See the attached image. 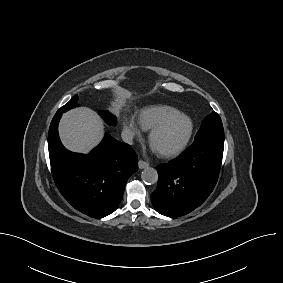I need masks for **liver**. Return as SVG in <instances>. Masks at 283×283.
<instances>
[{
	"mask_svg": "<svg viewBox=\"0 0 283 283\" xmlns=\"http://www.w3.org/2000/svg\"><path fill=\"white\" fill-rule=\"evenodd\" d=\"M103 123L89 108H76L65 113L59 126L60 138L71 151L88 153L103 137Z\"/></svg>",
	"mask_w": 283,
	"mask_h": 283,
	"instance_id": "liver-1",
	"label": "liver"
}]
</instances>
